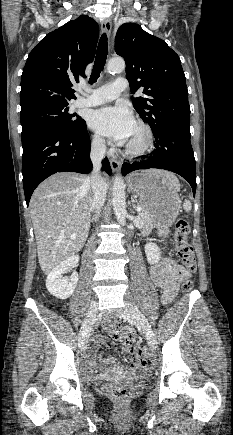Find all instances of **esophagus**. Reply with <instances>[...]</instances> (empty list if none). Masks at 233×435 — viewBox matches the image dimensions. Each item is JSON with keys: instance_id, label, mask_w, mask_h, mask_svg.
Wrapping results in <instances>:
<instances>
[{"instance_id": "1", "label": "esophagus", "mask_w": 233, "mask_h": 435, "mask_svg": "<svg viewBox=\"0 0 233 435\" xmlns=\"http://www.w3.org/2000/svg\"><path fill=\"white\" fill-rule=\"evenodd\" d=\"M101 30L102 32L106 33V35L109 37L112 31V22H111V18H107L105 19L102 23H101ZM110 165L111 168L114 172H117L120 167H121V162L117 159H115L114 157H110Z\"/></svg>"}]
</instances>
